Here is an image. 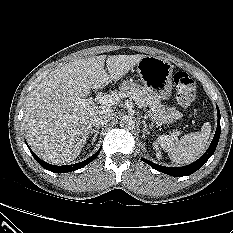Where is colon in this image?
<instances>
[{
  "label": "colon",
  "instance_id": "1",
  "mask_svg": "<svg viewBox=\"0 0 233 233\" xmlns=\"http://www.w3.org/2000/svg\"><path fill=\"white\" fill-rule=\"evenodd\" d=\"M176 99L178 104L189 109L195 99V83L186 72L178 71L174 74Z\"/></svg>",
  "mask_w": 233,
  "mask_h": 233
}]
</instances>
